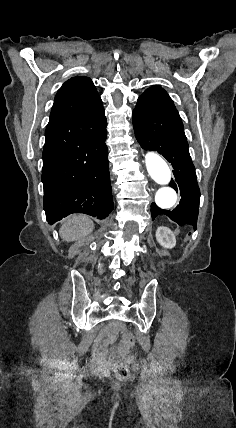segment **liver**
<instances>
[{
  "instance_id": "6515ba94",
  "label": "liver",
  "mask_w": 236,
  "mask_h": 428,
  "mask_svg": "<svg viewBox=\"0 0 236 428\" xmlns=\"http://www.w3.org/2000/svg\"><path fill=\"white\" fill-rule=\"evenodd\" d=\"M94 224L92 220H89L87 216H69L64 220L60 230V238L65 242H75V240H81L90 232H93Z\"/></svg>"
}]
</instances>
